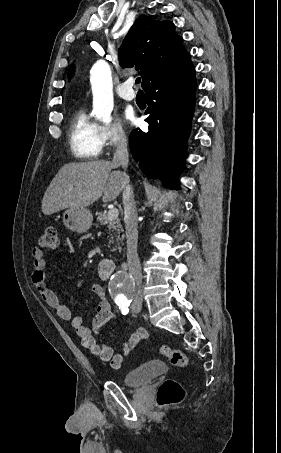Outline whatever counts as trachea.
Masks as SVG:
<instances>
[{"mask_svg": "<svg viewBox=\"0 0 281 453\" xmlns=\"http://www.w3.org/2000/svg\"><path fill=\"white\" fill-rule=\"evenodd\" d=\"M140 81H141V78L138 77V78H136L135 83H140ZM141 96H143V92L142 91H138L137 97H141Z\"/></svg>", "mask_w": 281, "mask_h": 453, "instance_id": "trachea-1", "label": "trachea"}]
</instances>
